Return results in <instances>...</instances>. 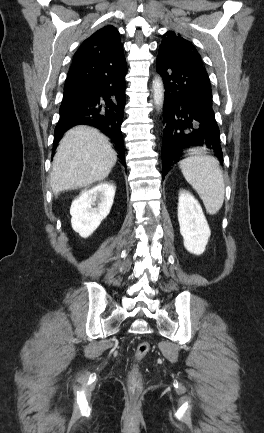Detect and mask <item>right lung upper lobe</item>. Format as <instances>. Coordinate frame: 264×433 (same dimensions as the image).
<instances>
[{
    "label": "right lung upper lobe",
    "instance_id": "obj_1",
    "mask_svg": "<svg viewBox=\"0 0 264 433\" xmlns=\"http://www.w3.org/2000/svg\"><path fill=\"white\" fill-rule=\"evenodd\" d=\"M94 61H105L110 64L125 61L119 32L115 27L107 25L86 39L74 54L72 64Z\"/></svg>",
    "mask_w": 264,
    "mask_h": 433
}]
</instances>
